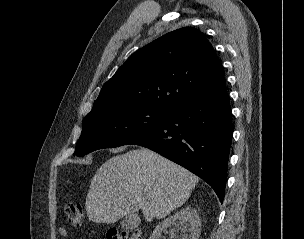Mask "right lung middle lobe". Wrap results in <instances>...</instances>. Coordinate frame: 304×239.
Here are the masks:
<instances>
[{"instance_id":"obj_1","label":"right lung middle lobe","mask_w":304,"mask_h":239,"mask_svg":"<svg viewBox=\"0 0 304 239\" xmlns=\"http://www.w3.org/2000/svg\"><path fill=\"white\" fill-rule=\"evenodd\" d=\"M168 114L151 107H128L85 117L74 154L83 156L98 149L126 145L161 125Z\"/></svg>"}]
</instances>
